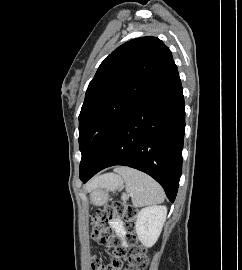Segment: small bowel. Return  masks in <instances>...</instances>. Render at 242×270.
<instances>
[{
  "label": "small bowel",
  "instance_id": "small-bowel-1",
  "mask_svg": "<svg viewBox=\"0 0 242 270\" xmlns=\"http://www.w3.org/2000/svg\"><path fill=\"white\" fill-rule=\"evenodd\" d=\"M110 225L112 227V229L115 231V233L117 234V236H119L121 239H123L126 235V230L124 227V224L122 221L118 220V219H113L110 222Z\"/></svg>",
  "mask_w": 242,
  "mask_h": 270
}]
</instances>
